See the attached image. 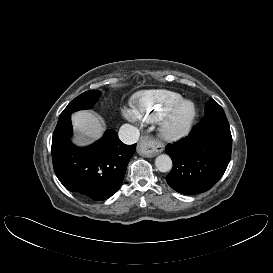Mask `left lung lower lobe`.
<instances>
[{"label": "left lung lower lobe", "mask_w": 273, "mask_h": 273, "mask_svg": "<svg viewBox=\"0 0 273 273\" xmlns=\"http://www.w3.org/2000/svg\"><path fill=\"white\" fill-rule=\"evenodd\" d=\"M231 148L227 118H203L186 138L166 146L165 151L173 161L167 183L182 194L209 190L224 174Z\"/></svg>", "instance_id": "obj_1"}]
</instances>
